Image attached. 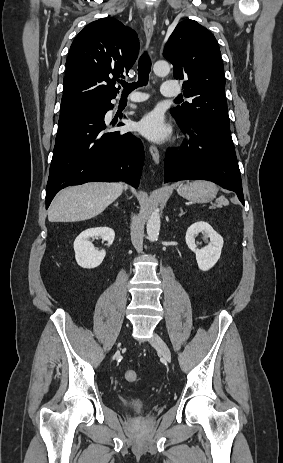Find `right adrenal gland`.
<instances>
[{"instance_id":"2a0ac1e0","label":"right adrenal gland","mask_w":283,"mask_h":463,"mask_svg":"<svg viewBox=\"0 0 283 463\" xmlns=\"http://www.w3.org/2000/svg\"><path fill=\"white\" fill-rule=\"evenodd\" d=\"M114 206H116L118 208V202H116V204H114Z\"/></svg>"}]
</instances>
